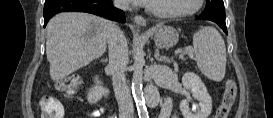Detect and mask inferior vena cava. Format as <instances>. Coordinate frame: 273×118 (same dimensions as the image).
<instances>
[{
	"label": "inferior vena cava",
	"mask_w": 273,
	"mask_h": 118,
	"mask_svg": "<svg viewBox=\"0 0 273 118\" xmlns=\"http://www.w3.org/2000/svg\"><path fill=\"white\" fill-rule=\"evenodd\" d=\"M116 7L126 10V0H115ZM107 43L109 47L108 70L112 73L115 96L119 105L120 118H130L133 114V102L126 84L125 70L128 64V46L124 33L118 26L112 24Z\"/></svg>",
	"instance_id": "obj_1"
}]
</instances>
